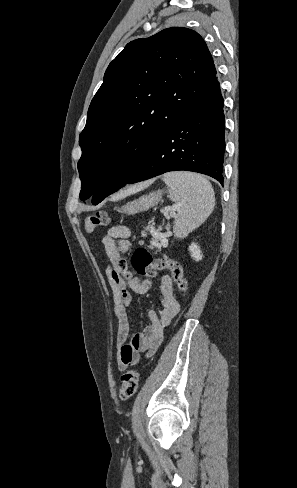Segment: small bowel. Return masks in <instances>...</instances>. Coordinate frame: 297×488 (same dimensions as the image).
<instances>
[{
  "label": "small bowel",
  "mask_w": 297,
  "mask_h": 488,
  "mask_svg": "<svg viewBox=\"0 0 297 488\" xmlns=\"http://www.w3.org/2000/svg\"><path fill=\"white\" fill-rule=\"evenodd\" d=\"M130 230L125 226H114L101 239V244L110 263L106 273L112 292L113 315L117 320L116 348L117 362L121 370L136 365L141 354L152 355L163 339V330L179 311V304L174 297L172 278L163 275L159 281L163 309L159 314L148 311L150 323L140 332L130 336V320L128 308L133 304V295L145 294L151 287L150 280H137L132 277H121L114 273L117 251L128 252L132 248L129 241Z\"/></svg>",
  "instance_id": "obj_1"
}]
</instances>
